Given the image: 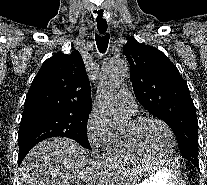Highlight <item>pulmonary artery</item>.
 Wrapping results in <instances>:
<instances>
[{
	"mask_svg": "<svg viewBox=\"0 0 207 185\" xmlns=\"http://www.w3.org/2000/svg\"><path fill=\"white\" fill-rule=\"evenodd\" d=\"M128 91L129 86H120V93L117 95L118 101L125 109L131 113H134L136 111V102Z\"/></svg>",
	"mask_w": 207,
	"mask_h": 185,
	"instance_id": "pulmonary-artery-1",
	"label": "pulmonary artery"
}]
</instances>
